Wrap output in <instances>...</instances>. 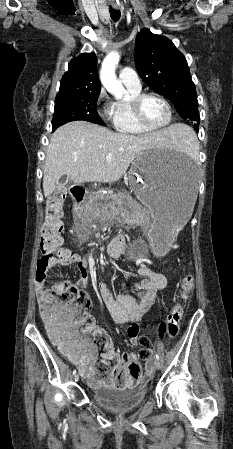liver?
Wrapping results in <instances>:
<instances>
[{
	"mask_svg": "<svg viewBox=\"0 0 233 449\" xmlns=\"http://www.w3.org/2000/svg\"><path fill=\"white\" fill-rule=\"evenodd\" d=\"M183 136L182 125H172L141 136L115 133L84 121L59 127L51 136L44 164L43 191L50 196L60 178L68 175L74 183L119 180L130 163L150 149H163ZM112 154L110 161L106 156Z\"/></svg>",
	"mask_w": 233,
	"mask_h": 449,
	"instance_id": "obj_1",
	"label": "liver"
}]
</instances>
